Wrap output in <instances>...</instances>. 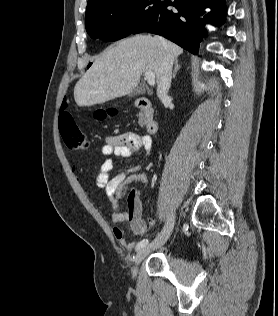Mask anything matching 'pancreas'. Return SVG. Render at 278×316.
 Segmentation results:
<instances>
[{
  "instance_id": "cf45deb5",
  "label": "pancreas",
  "mask_w": 278,
  "mask_h": 316,
  "mask_svg": "<svg viewBox=\"0 0 278 316\" xmlns=\"http://www.w3.org/2000/svg\"><path fill=\"white\" fill-rule=\"evenodd\" d=\"M139 124L141 126H144L148 121L149 119L152 118V113H145V112H139Z\"/></svg>"
}]
</instances>
